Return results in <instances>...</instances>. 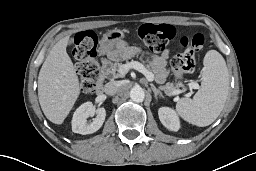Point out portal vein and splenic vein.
I'll list each match as a JSON object with an SVG mask.
<instances>
[{"label":"portal vein and splenic vein","instance_id":"1","mask_svg":"<svg viewBox=\"0 0 256 171\" xmlns=\"http://www.w3.org/2000/svg\"><path fill=\"white\" fill-rule=\"evenodd\" d=\"M130 69H135L141 73H143L146 77V79L149 81V82H152L154 80V74L151 73L142 63L140 62H137V61H131L127 64H123L120 66L119 68V72L122 74V75H125L128 73V71ZM190 89H197L198 88V85L195 84V83H191L189 85ZM181 91L180 90H176L173 95H178Z\"/></svg>","mask_w":256,"mask_h":171}]
</instances>
